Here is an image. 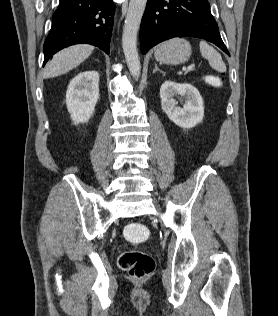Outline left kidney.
<instances>
[{
  "mask_svg": "<svg viewBox=\"0 0 278 316\" xmlns=\"http://www.w3.org/2000/svg\"><path fill=\"white\" fill-rule=\"evenodd\" d=\"M180 95L185 104L178 107V101L173 97ZM162 110L169 119L182 128H192L201 123L204 118L203 99L199 91L190 84H179L165 81L160 88Z\"/></svg>",
  "mask_w": 278,
  "mask_h": 316,
  "instance_id": "left-kidney-1",
  "label": "left kidney"
}]
</instances>
